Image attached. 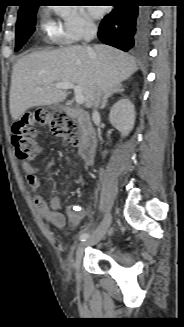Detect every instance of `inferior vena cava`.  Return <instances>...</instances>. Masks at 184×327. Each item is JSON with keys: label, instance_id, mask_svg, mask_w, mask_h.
<instances>
[{"label": "inferior vena cava", "instance_id": "1", "mask_svg": "<svg viewBox=\"0 0 184 327\" xmlns=\"http://www.w3.org/2000/svg\"><path fill=\"white\" fill-rule=\"evenodd\" d=\"M97 29L93 25H87L84 30V40L86 43L90 42L96 35ZM89 54H92V50L89 46L86 47ZM100 94H97L96 100L94 102V107L97 108L100 100ZM94 113H97L96 109L94 110Z\"/></svg>", "mask_w": 184, "mask_h": 327}]
</instances>
